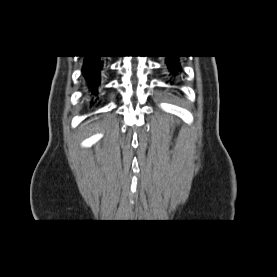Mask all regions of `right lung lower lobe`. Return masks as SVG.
Listing matches in <instances>:
<instances>
[{
	"label": "right lung lower lobe",
	"instance_id": "right-lung-lower-lobe-1",
	"mask_svg": "<svg viewBox=\"0 0 277 277\" xmlns=\"http://www.w3.org/2000/svg\"><path fill=\"white\" fill-rule=\"evenodd\" d=\"M104 66L101 56H85L82 72L88 81L89 91L93 94L98 92L99 76Z\"/></svg>",
	"mask_w": 277,
	"mask_h": 277
}]
</instances>
